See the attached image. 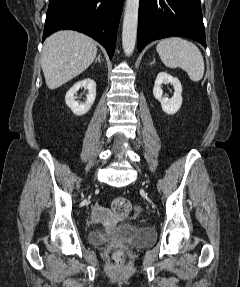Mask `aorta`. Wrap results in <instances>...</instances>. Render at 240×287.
<instances>
[{"instance_id": "1", "label": "aorta", "mask_w": 240, "mask_h": 287, "mask_svg": "<svg viewBox=\"0 0 240 287\" xmlns=\"http://www.w3.org/2000/svg\"><path fill=\"white\" fill-rule=\"evenodd\" d=\"M139 0H126L123 28L122 47L127 56L132 55L137 37Z\"/></svg>"}]
</instances>
